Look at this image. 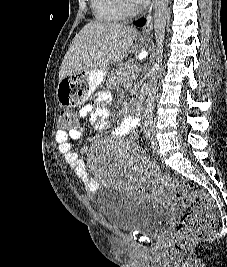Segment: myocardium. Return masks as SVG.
Wrapping results in <instances>:
<instances>
[{"label":"myocardium","instance_id":"myocardium-1","mask_svg":"<svg viewBox=\"0 0 227 267\" xmlns=\"http://www.w3.org/2000/svg\"><path fill=\"white\" fill-rule=\"evenodd\" d=\"M121 11L126 16H134L139 10L138 8L131 2V0H118Z\"/></svg>","mask_w":227,"mask_h":267}]
</instances>
